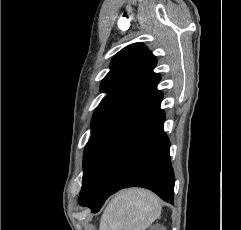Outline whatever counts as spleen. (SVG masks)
I'll return each instance as SVG.
<instances>
[{"label": "spleen", "mask_w": 241, "mask_h": 230, "mask_svg": "<svg viewBox=\"0 0 241 230\" xmlns=\"http://www.w3.org/2000/svg\"><path fill=\"white\" fill-rule=\"evenodd\" d=\"M161 213L160 199L144 189H127L108 203L99 230H145Z\"/></svg>", "instance_id": "1"}]
</instances>
